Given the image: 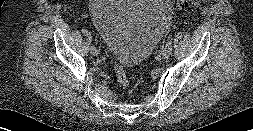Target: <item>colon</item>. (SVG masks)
I'll list each match as a JSON object with an SVG mask.
<instances>
[{"mask_svg":"<svg viewBox=\"0 0 253 131\" xmlns=\"http://www.w3.org/2000/svg\"><path fill=\"white\" fill-rule=\"evenodd\" d=\"M205 1L208 0H177V4L180 8H188L190 6H197ZM115 73L120 85L126 89L129 88L130 87L129 78L119 62L115 63Z\"/></svg>","mask_w":253,"mask_h":131,"instance_id":"1","label":"colon"}]
</instances>
